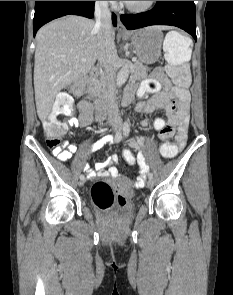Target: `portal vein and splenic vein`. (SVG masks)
Returning a JSON list of instances; mask_svg holds the SVG:
<instances>
[{
  "label": "portal vein and splenic vein",
  "mask_w": 233,
  "mask_h": 295,
  "mask_svg": "<svg viewBox=\"0 0 233 295\" xmlns=\"http://www.w3.org/2000/svg\"><path fill=\"white\" fill-rule=\"evenodd\" d=\"M81 60H82V61H86V59H84V58L81 59ZM136 60H137L136 58H133V59H132L133 62H135Z\"/></svg>",
  "instance_id": "portal-vein-and-splenic-vein-1"
}]
</instances>
